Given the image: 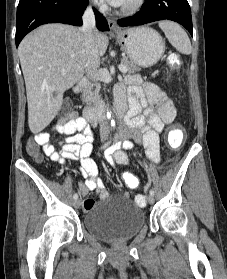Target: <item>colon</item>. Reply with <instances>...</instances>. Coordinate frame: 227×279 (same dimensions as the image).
Returning a JSON list of instances; mask_svg holds the SVG:
<instances>
[{"label":"colon","instance_id":"colon-1","mask_svg":"<svg viewBox=\"0 0 227 279\" xmlns=\"http://www.w3.org/2000/svg\"><path fill=\"white\" fill-rule=\"evenodd\" d=\"M63 108H64L65 116L68 115L71 110V103L69 102L64 103ZM183 139H184V135L179 130L173 129L169 132V141L173 146L175 147L180 146ZM26 149L30 156H32L36 160H41V154L39 152L38 146L34 142L29 141L27 143ZM122 179L124 184L129 188H136L139 185V178L137 175L133 173L130 172L123 173ZM139 197H143L144 200L145 198L143 194L138 195L136 199V203L140 205L142 204V200L139 199Z\"/></svg>","mask_w":227,"mask_h":279}]
</instances>
